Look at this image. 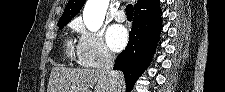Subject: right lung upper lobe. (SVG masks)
<instances>
[{"mask_svg":"<svg viewBox=\"0 0 225 92\" xmlns=\"http://www.w3.org/2000/svg\"><path fill=\"white\" fill-rule=\"evenodd\" d=\"M85 0H69L59 22H69L83 7ZM135 15L148 16L160 11L158 0H138L134 5ZM58 22V23H59Z\"/></svg>","mask_w":225,"mask_h":92,"instance_id":"cb5924a9","label":"right lung upper lobe"}]
</instances>
